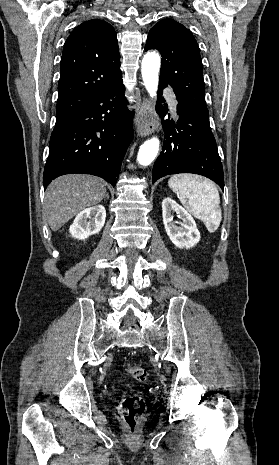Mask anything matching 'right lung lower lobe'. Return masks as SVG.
Instances as JSON below:
<instances>
[{
  "mask_svg": "<svg viewBox=\"0 0 279 465\" xmlns=\"http://www.w3.org/2000/svg\"><path fill=\"white\" fill-rule=\"evenodd\" d=\"M124 89L118 81L54 128L44 189L56 177L70 173L96 175L116 185L133 132V113L127 109Z\"/></svg>",
  "mask_w": 279,
  "mask_h": 465,
  "instance_id": "obj_1",
  "label": "right lung lower lobe"
}]
</instances>
